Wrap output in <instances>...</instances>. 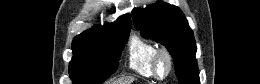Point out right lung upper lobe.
Here are the masks:
<instances>
[{"label":"right lung upper lobe","mask_w":260,"mask_h":84,"mask_svg":"<svg viewBox=\"0 0 260 84\" xmlns=\"http://www.w3.org/2000/svg\"><path fill=\"white\" fill-rule=\"evenodd\" d=\"M131 20L130 15L125 14L118 18L115 22L105 23L104 26L96 25L92 29L87 30L80 35L76 36L72 45L90 42L101 37H104L110 33L130 32Z\"/></svg>","instance_id":"obj_1"}]
</instances>
